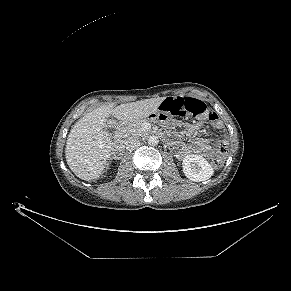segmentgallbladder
<instances>
[{"label":"gallbladder","instance_id":"gallbladder-1","mask_svg":"<svg viewBox=\"0 0 291 291\" xmlns=\"http://www.w3.org/2000/svg\"><path fill=\"white\" fill-rule=\"evenodd\" d=\"M118 124H119L118 121L114 119L113 117H110L107 119L105 129L107 130L110 136L114 135L118 127Z\"/></svg>","mask_w":291,"mask_h":291}]
</instances>
